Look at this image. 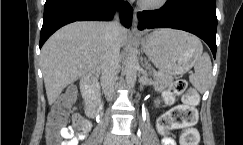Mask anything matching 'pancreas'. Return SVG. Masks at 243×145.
Instances as JSON below:
<instances>
[{"label":"pancreas","mask_w":243,"mask_h":145,"mask_svg":"<svg viewBox=\"0 0 243 145\" xmlns=\"http://www.w3.org/2000/svg\"><path fill=\"white\" fill-rule=\"evenodd\" d=\"M154 79H155L157 87H166L173 81L172 76L166 75V74H163V73H161L158 76H155Z\"/></svg>","instance_id":"obj_1"}]
</instances>
